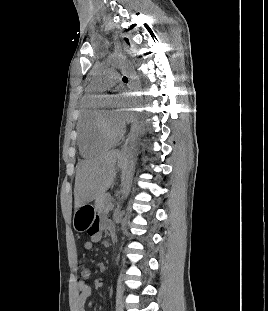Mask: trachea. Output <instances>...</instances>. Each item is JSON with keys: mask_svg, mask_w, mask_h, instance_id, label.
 I'll return each instance as SVG.
<instances>
[{"mask_svg": "<svg viewBox=\"0 0 268 311\" xmlns=\"http://www.w3.org/2000/svg\"><path fill=\"white\" fill-rule=\"evenodd\" d=\"M123 81H124V82H127V77L124 76V77H123Z\"/></svg>", "mask_w": 268, "mask_h": 311, "instance_id": "trachea-1", "label": "trachea"}]
</instances>
